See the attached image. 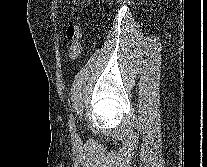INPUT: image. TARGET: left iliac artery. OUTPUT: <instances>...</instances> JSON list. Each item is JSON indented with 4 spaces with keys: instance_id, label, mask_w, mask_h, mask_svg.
<instances>
[{
    "instance_id": "1",
    "label": "left iliac artery",
    "mask_w": 207,
    "mask_h": 167,
    "mask_svg": "<svg viewBox=\"0 0 207 167\" xmlns=\"http://www.w3.org/2000/svg\"><path fill=\"white\" fill-rule=\"evenodd\" d=\"M69 126H70V129H71V132H72V136L76 137L77 133H76V127H75L73 114L70 115Z\"/></svg>"
}]
</instances>
